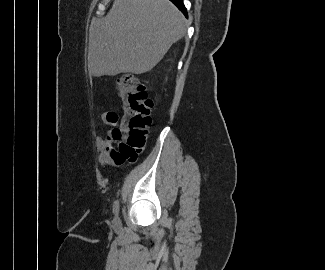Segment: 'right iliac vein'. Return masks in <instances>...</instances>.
Listing matches in <instances>:
<instances>
[{"label": "right iliac vein", "instance_id": "right-iliac-vein-1", "mask_svg": "<svg viewBox=\"0 0 325 270\" xmlns=\"http://www.w3.org/2000/svg\"><path fill=\"white\" fill-rule=\"evenodd\" d=\"M113 223H114V225H116V226L119 225L120 220H119L118 216H116V217L114 218Z\"/></svg>", "mask_w": 325, "mask_h": 270}]
</instances>
